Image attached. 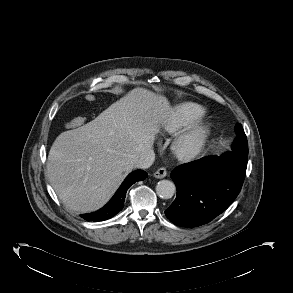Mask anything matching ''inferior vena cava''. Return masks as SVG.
<instances>
[{"label": "inferior vena cava", "instance_id": "inferior-vena-cava-1", "mask_svg": "<svg viewBox=\"0 0 293 293\" xmlns=\"http://www.w3.org/2000/svg\"><path fill=\"white\" fill-rule=\"evenodd\" d=\"M154 160H155V153L151 149L146 151L136 160H134L133 166L134 168L147 169L153 164Z\"/></svg>", "mask_w": 293, "mask_h": 293}]
</instances>
